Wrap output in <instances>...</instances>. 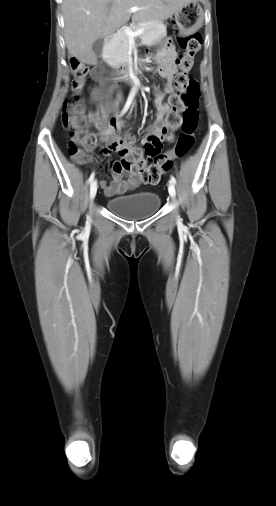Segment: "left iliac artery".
Returning <instances> with one entry per match:
<instances>
[{
  "instance_id": "1",
  "label": "left iliac artery",
  "mask_w": 276,
  "mask_h": 506,
  "mask_svg": "<svg viewBox=\"0 0 276 506\" xmlns=\"http://www.w3.org/2000/svg\"><path fill=\"white\" fill-rule=\"evenodd\" d=\"M170 179H171V180H170V182H171V183L176 184V179H175V177H174V176H171V177H170Z\"/></svg>"
}]
</instances>
